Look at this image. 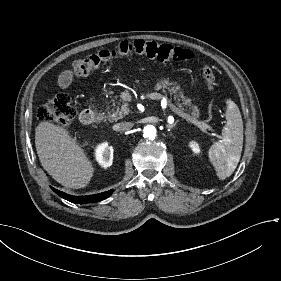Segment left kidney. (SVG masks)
<instances>
[{"label":"left kidney","instance_id":"1","mask_svg":"<svg viewBox=\"0 0 281 281\" xmlns=\"http://www.w3.org/2000/svg\"><path fill=\"white\" fill-rule=\"evenodd\" d=\"M189 147L192 149V151L196 154H199L201 152L200 150V146H199V143L197 141H190L189 142Z\"/></svg>","mask_w":281,"mask_h":281}]
</instances>
